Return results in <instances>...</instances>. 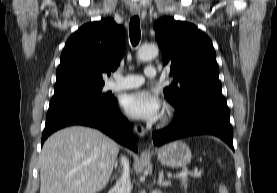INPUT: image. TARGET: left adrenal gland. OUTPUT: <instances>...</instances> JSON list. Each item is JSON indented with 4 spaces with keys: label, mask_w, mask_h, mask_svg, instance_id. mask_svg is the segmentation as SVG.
<instances>
[{
    "label": "left adrenal gland",
    "mask_w": 277,
    "mask_h": 193,
    "mask_svg": "<svg viewBox=\"0 0 277 193\" xmlns=\"http://www.w3.org/2000/svg\"><path fill=\"white\" fill-rule=\"evenodd\" d=\"M158 185L162 187H168L171 185L170 181L164 180V172L161 170L159 172V180H158Z\"/></svg>",
    "instance_id": "a2214340"
}]
</instances>
